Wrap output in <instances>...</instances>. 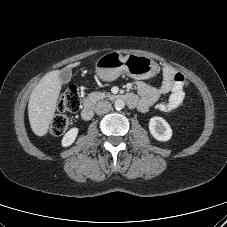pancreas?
Returning <instances> with one entry per match:
<instances>
[{
    "instance_id": "obj_1",
    "label": "pancreas",
    "mask_w": 227,
    "mask_h": 227,
    "mask_svg": "<svg viewBox=\"0 0 227 227\" xmlns=\"http://www.w3.org/2000/svg\"><path fill=\"white\" fill-rule=\"evenodd\" d=\"M106 96H107V94L104 92L95 91L88 95V99L90 101L95 102V101H98L99 99L105 98Z\"/></svg>"
}]
</instances>
